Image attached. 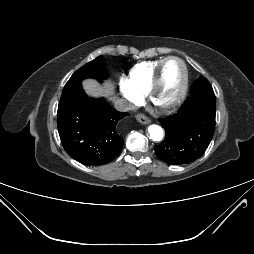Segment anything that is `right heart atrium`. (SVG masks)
I'll use <instances>...</instances> for the list:
<instances>
[{
  "label": "right heart atrium",
  "instance_id": "right-heart-atrium-1",
  "mask_svg": "<svg viewBox=\"0 0 254 254\" xmlns=\"http://www.w3.org/2000/svg\"><path fill=\"white\" fill-rule=\"evenodd\" d=\"M119 88L122 96L129 102L135 103L140 101L142 98V95L133 88L128 78L126 77L120 78Z\"/></svg>",
  "mask_w": 254,
  "mask_h": 254
}]
</instances>
